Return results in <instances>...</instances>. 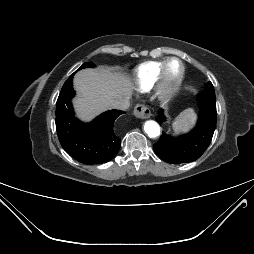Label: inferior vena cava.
Returning a JSON list of instances; mask_svg holds the SVG:
<instances>
[{"label": "inferior vena cava", "mask_w": 254, "mask_h": 254, "mask_svg": "<svg viewBox=\"0 0 254 254\" xmlns=\"http://www.w3.org/2000/svg\"><path fill=\"white\" fill-rule=\"evenodd\" d=\"M130 106L129 99H122L119 101H116L112 104V108L118 109V110H126Z\"/></svg>", "instance_id": "obj_1"}]
</instances>
